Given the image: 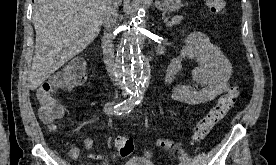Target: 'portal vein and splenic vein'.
<instances>
[{"label": "portal vein and splenic vein", "mask_w": 276, "mask_h": 165, "mask_svg": "<svg viewBox=\"0 0 276 165\" xmlns=\"http://www.w3.org/2000/svg\"><path fill=\"white\" fill-rule=\"evenodd\" d=\"M174 23H175L174 20H172V21L166 22V25H167V26H171V25H173Z\"/></svg>", "instance_id": "portal-vein-and-splenic-vein-1"}]
</instances>
